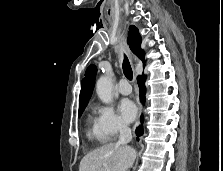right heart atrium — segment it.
I'll list each match as a JSON object with an SVG mask.
<instances>
[{
	"instance_id": "obj_1",
	"label": "right heart atrium",
	"mask_w": 223,
	"mask_h": 171,
	"mask_svg": "<svg viewBox=\"0 0 223 171\" xmlns=\"http://www.w3.org/2000/svg\"><path fill=\"white\" fill-rule=\"evenodd\" d=\"M96 111V127L101 137L110 141L128 130L127 124L115 112L113 107L98 105Z\"/></svg>"
}]
</instances>
